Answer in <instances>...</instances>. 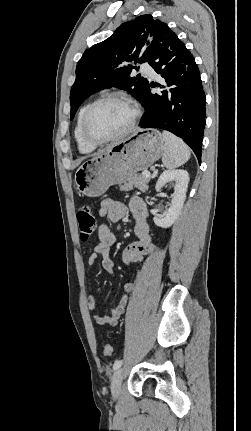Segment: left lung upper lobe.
Here are the masks:
<instances>
[{
	"mask_svg": "<svg viewBox=\"0 0 251 431\" xmlns=\"http://www.w3.org/2000/svg\"><path fill=\"white\" fill-rule=\"evenodd\" d=\"M174 33L151 15H141L120 25L103 42L87 49L76 67L70 94L71 120L79 106L93 93L111 87L130 92L141 102L149 82L131 77L133 64L150 61L156 48Z\"/></svg>",
	"mask_w": 251,
	"mask_h": 431,
	"instance_id": "obj_1",
	"label": "left lung upper lobe"
}]
</instances>
